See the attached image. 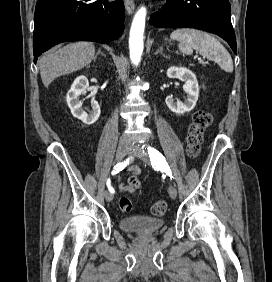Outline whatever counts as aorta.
Masks as SVG:
<instances>
[{"mask_svg":"<svg viewBox=\"0 0 272 282\" xmlns=\"http://www.w3.org/2000/svg\"><path fill=\"white\" fill-rule=\"evenodd\" d=\"M146 8L141 7L135 14L129 37L130 59L134 65H138L143 53V35L145 30Z\"/></svg>","mask_w":272,"mask_h":282,"instance_id":"aorta-1","label":"aorta"}]
</instances>
